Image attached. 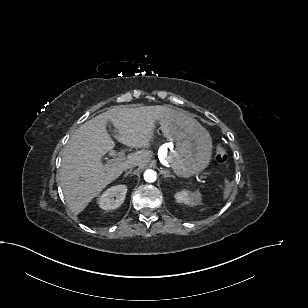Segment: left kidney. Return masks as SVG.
Returning <instances> with one entry per match:
<instances>
[{"instance_id":"1","label":"left kidney","mask_w":308,"mask_h":308,"mask_svg":"<svg viewBox=\"0 0 308 308\" xmlns=\"http://www.w3.org/2000/svg\"><path fill=\"white\" fill-rule=\"evenodd\" d=\"M175 199L178 203H184L187 205L198 204L200 201V193H189L186 190H182L175 194Z\"/></svg>"}]
</instances>
